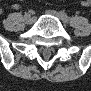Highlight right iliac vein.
<instances>
[{
    "label": "right iliac vein",
    "instance_id": "obj_1",
    "mask_svg": "<svg viewBox=\"0 0 91 91\" xmlns=\"http://www.w3.org/2000/svg\"><path fill=\"white\" fill-rule=\"evenodd\" d=\"M24 19L28 25H32L35 22V18L30 15L24 16Z\"/></svg>",
    "mask_w": 91,
    "mask_h": 91
}]
</instances>
